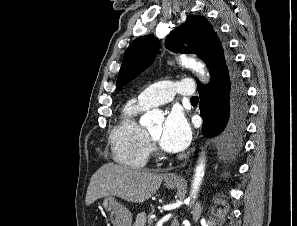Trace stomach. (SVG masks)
Instances as JSON below:
<instances>
[{"instance_id":"obj_1","label":"stomach","mask_w":297,"mask_h":226,"mask_svg":"<svg viewBox=\"0 0 297 226\" xmlns=\"http://www.w3.org/2000/svg\"><path fill=\"white\" fill-rule=\"evenodd\" d=\"M166 187L171 189L176 186V183L166 182ZM103 208L110 212L111 223L113 226H131L132 214L121 203L117 202L113 196L104 197L102 202Z\"/></svg>"}]
</instances>
